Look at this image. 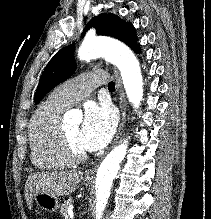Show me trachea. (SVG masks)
Returning a JSON list of instances; mask_svg holds the SVG:
<instances>
[{"label": "trachea", "mask_w": 211, "mask_h": 219, "mask_svg": "<svg viewBox=\"0 0 211 219\" xmlns=\"http://www.w3.org/2000/svg\"><path fill=\"white\" fill-rule=\"evenodd\" d=\"M108 89L109 90H114L115 89V83L114 82H109V84H108Z\"/></svg>", "instance_id": "1"}]
</instances>
